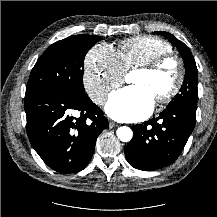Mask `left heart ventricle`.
<instances>
[{
    "label": "left heart ventricle",
    "instance_id": "b2bd125f",
    "mask_svg": "<svg viewBox=\"0 0 217 217\" xmlns=\"http://www.w3.org/2000/svg\"><path fill=\"white\" fill-rule=\"evenodd\" d=\"M132 85L145 88L154 100L170 90L174 82V70L171 65H166L158 74L152 75L136 71L130 79Z\"/></svg>",
    "mask_w": 217,
    "mask_h": 217
}]
</instances>
